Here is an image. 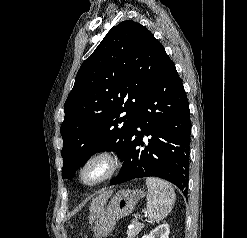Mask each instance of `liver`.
<instances>
[{
	"mask_svg": "<svg viewBox=\"0 0 247 238\" xmlns=\"http://www.w3.org/2000/svg\"><path fill=\"white\" fill-rule=\"evenodd\" d=\"M112 190L104 191L103 193L99 194L95 199H93L91 206H90V216L89 222L92 223L95 218H97L100 213L103 211L104 205L108 198L112 194Z\"/></svg>",
	"mask_w": 247,
	"mask_h": 238,
	"instance_id": "obj_1",
	"label": "liver"
}]
</instances>
